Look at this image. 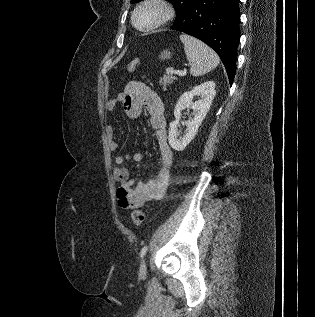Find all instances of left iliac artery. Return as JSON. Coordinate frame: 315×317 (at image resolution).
<instances>
[{
  "instance_id": "44dca946",
  "label": "left iliac artery",
  "mask_w": 315,
  "mask_h": 317,
  "mask_svg": "<svg viewBox=\"0 0 315 317\" xmlns=\"http://www.w3.org/2000/svg\"><path fill=\"white\" fill-rule=\"evenodd\" d=\"M148 247L144 246L140 252V257L143 258L147 252Z\"/></svg>"
}]
</instances>
